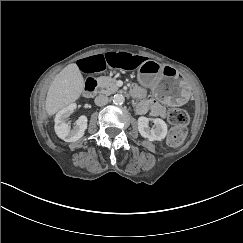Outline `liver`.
Returning a JSON list of instances; mask_svg holds the SVG:
<instances>
[{
  "label": "liver",
  "mask_w": 243,
  "mask_h": 243,
  "mask_svg": "<svg viewBox=\"0 0 243 243\" xmlns=\"http://www.w3.org/2000/svg\"><path fill=\"white\" fill-rule=\"evenodd\" d=\"M85 88L83 74L76 63L65 66L50 84L45 99L48 117L76 102Z\"/></svg>",
  "instance_id": "1"
}]
</instances>
